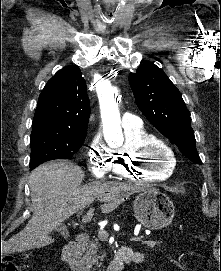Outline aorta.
Returning a JSON list of instances; mask_svg holds the SVG:
<instances>
[{"instance_id":"762f6f07","label":"aorta","mask_w":221,"mask_h":271,"mask_svg":"<svg viewBox=\"0 0 221 271\" xmlns=\"http://www.w3.org/2000/svg\"><path fill=\"white\" fill-rule=\"evenodd\" d=\"M118 93L116 88L110 89L105 93L101 100V117L104 127L113 128L115 131L120 132V115L116 103L115 95Z\"/></svg>"}]
</instances>
